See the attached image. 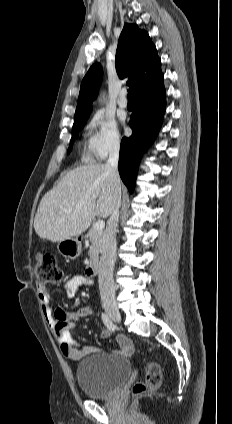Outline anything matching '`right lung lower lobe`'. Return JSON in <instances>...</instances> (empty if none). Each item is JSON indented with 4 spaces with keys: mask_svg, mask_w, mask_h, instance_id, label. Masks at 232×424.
Segmentation results:
<instances>
[{
    "mask_svg": "<svg viewBox=\"0 0 232 424\" xmlns=\"http://www.w3.org/2000/svg\"><path fill=\"white\" fill-rule=\"evenodd\" d=\"M135 96L136 106L129 122L132 135L121 141L118 165L121 179L131 193L142 154L154 141L162 124L166 108L163 74L152 86L137 92Z\"/></svg>",
    "mask_w": 232,
    "mask_h": 424,
    "instance_id": "right-lung-lower-lobe-1",
    "label": "right lung lower lobe"
}]
</instances>
